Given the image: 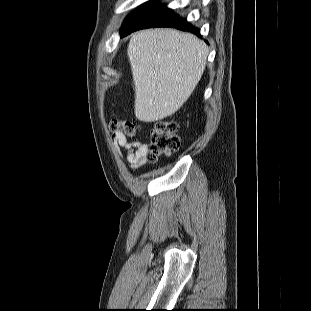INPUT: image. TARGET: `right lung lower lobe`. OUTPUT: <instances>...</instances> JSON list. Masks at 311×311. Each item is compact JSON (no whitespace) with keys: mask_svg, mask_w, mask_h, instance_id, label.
<instances>
[{"mask_svg":"<svg viewBox=\"0 0 311 311\" xmlns=\"http://www.w3.org/2000/svg\"><path fill=\"white\" fill-rule=\"evenodd\" d=\"M154 27H172L182 31H188L201 37L198 28L189 24L186 20L180 18L167 7L153 5L138 15L133 22L121 33V37L134 31L154 28Z\"/></svg>","mask_w":311,"mask_h":311,"instance_id":"right-lung-lower-lobe-1","label":"right lung lower lobe"}]
</instances>
